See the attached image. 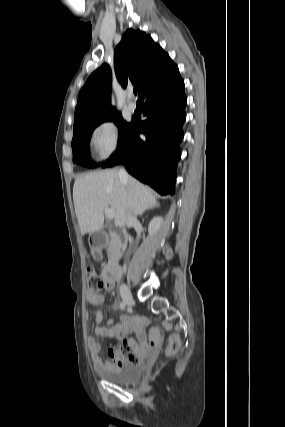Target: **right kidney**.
<instances>
[{
	"label": "right kidney",
	"mask_w": 285,
	"mask_h": 427,
	"mask_svg": "<svg viewBox=\"0 0 285 427\" xmlns=\"http://www.w3.org/2000/svg\"><path fill=\"white\" fill-rule=\"evenodd\" d=\"M163 219L161 217H154L148 226V232L150 236L156 235L162 226Z\"/></svg>",
	"instance_id": "ca27d5eb"
}]
</instances>
